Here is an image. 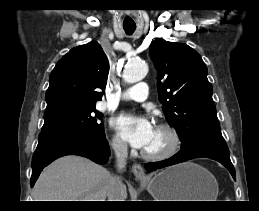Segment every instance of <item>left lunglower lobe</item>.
Instances as JSON below:
<instances>
[{
    "label": "left lung lower lobe",
    "mask_w": 259,
    "mask_h": 211,
    "mask_svg": "<svg viewBox=\"0 0 259 211\" xmlns=\"http://www.w3.org/2000/svg\"><path fill=\"white\" fill-rule=\"evenodd\" d=\"M199 157H206L220 162L229 170L232 177L236 180L235 169L231 163L229 149L226 142L211 139H203L188 148L181 149L170 159L160 162L147 163L145 165V169L148 172H152L160 168H164Z\"/></svg>",
    "instance_id": "left-lung-lower-lobe-1"
}]
</instances>
